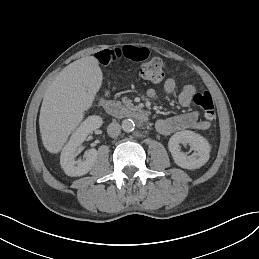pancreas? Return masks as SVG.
<instances>
[{
    "label": "pancreas",
    "instance_id": "pancreas-1",
    "mask_svg": "<svg viewBox=\"0 0 259 259\" xmlns=\"http://www.w3.org/2000/svg\"><path fill=\"white\" fill-rule=\"evenodd\" d=\"M122 102L125 104V106L129 109V110H133L134 106L132 104V101L129 100L127 97H123L122 98Z\"/></svg>",
    "mask_w": 259,
    "mask_h": 259
}]
</instances>
